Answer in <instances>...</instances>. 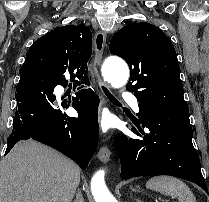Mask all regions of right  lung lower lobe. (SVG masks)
<instances>
[{
    "mask_svg": "<svg viewBox=\"0 0 209 202\" xmlns=\"http://www.w3.org/2000/svg\"><path fill=\"white\" fill-rule=\"evenodd\" d=\"M59 82L46 77L20 78L15 98L17 108L7 154L19 140L34 139L60 151L86 169L98 144L99 98L92 90L60 99L53 94ZM62 85V84H60ZM72 105L78 117H69L63 108Z\"/></svg>",
    "mask_w": 209,
    "mask_h": 202,
    "instance_id": "1",
    "label": "right lung lower lobe"
}]
</instances>
